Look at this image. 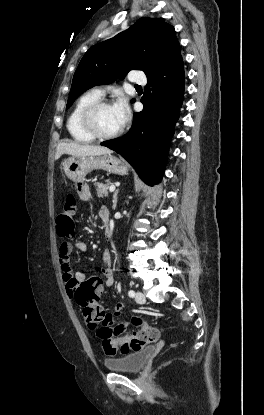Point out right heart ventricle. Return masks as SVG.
I'll return each instance as SVG.
<instances>
[{"label": "right heart ventricle", "instance_id": "1", "mask_svg": "<svg viewBox=\"0 0 264 415\" xmlns=\"http://www.w3.org/2000/svg\"><path fill=\"white\" fill-rule=\"evenodd\" d=\"M98 100H100V96H98L93 91H90L80 96L79 99L76 101L75 105L73 106L67 119V130L70 136L75 141L80 143H90L95 140L82 128L80 123V117L81 113L88 105Z\"/></svg>", "mask_w": 264, "mask_h": 415}]
</instances>
